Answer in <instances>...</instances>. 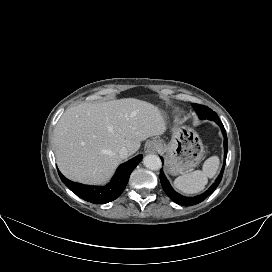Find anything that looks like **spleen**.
Here are the masks:
<instances>
[{
  "label": "spleen",
  "mask_w": 272,
  "mask_h": 272,
  "mask_svg": "<svg viewBox=\"0 0 272 272\" xmlns=\"http://www.w3.org/2000/svg\"><path fill=\"white\" fill-rule=\"evenodd\" d=\"M219 167V158L212 156L208 158L202 170H196L191 173L183 174L174 180V186L185 194H194L202 191L208 182V178H212Z\"/></svg>",
  "instance_id": "spleen-1"
}]
</instances>
